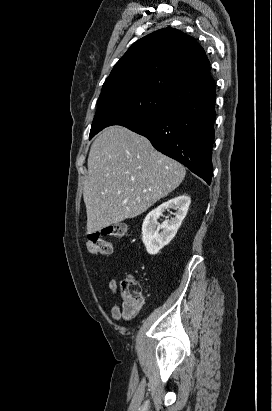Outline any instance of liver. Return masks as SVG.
Here are the masks:
<instances>
[{
    "label": "liver",
    "mask_w": 272,
    "mask_h": 411,
    "mask_svg": "<svg viewBox=\"0 0 272 411\" xmlns=\"http://www.w3.org/2000/svg\"><path fill=\"white\" fill-rule=\"evenodd\" d=\"M179 162L123 126L104 129L91 145L83 188L87 233L139 216L183 181Z\"/></svg>",
    "instance_id": "obj_1"
}]
</instances>
